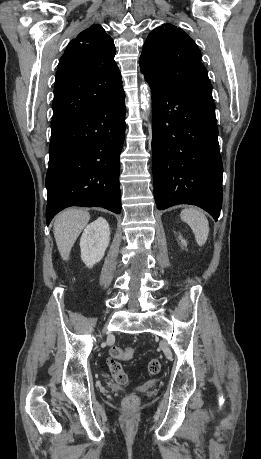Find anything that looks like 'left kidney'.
Segmentation results:
<instances>
[{"label":"left kidney","mask_w":261,"mask_h":459,"mask_svg":"<svg viewBox=\"0 0 261 459\" xmlns=\"http://www.w3.org/2000/svg\"><path fill=\"white\" fill-rule=\"evenodd\" d=\"M179 238H180L182 244H184V245L187 244L186 241L181 236Z\"/></svg>","instance_id":"left-kidney-1"}]
</instances>
